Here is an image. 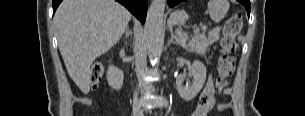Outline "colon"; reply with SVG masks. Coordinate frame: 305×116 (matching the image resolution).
<instances>
[{"label":"colon","mask_w":305,"mask_h":116,"mask_svg":"<svg viewBox=\"0 0 305 116\" xmlns=\"http://www.w3.org/2000/svg\"><path fill=\"white\" fill-rule=\"evenodd\" d=\"M242 27V17L240 14H232L223 26L221 55L217 62L218 75L215 86L218 92L222 91L228 85V79L235 69V60L237 54V35ZM105 67L102 63H96L90 70V82L95 88L101 81Z\"/></svg>","instance_id":"obj_1"}]
</instances>
